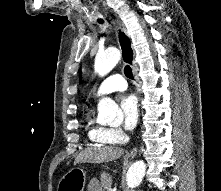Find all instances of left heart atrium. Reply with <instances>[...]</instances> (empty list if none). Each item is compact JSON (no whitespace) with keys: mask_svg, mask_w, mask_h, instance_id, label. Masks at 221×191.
I'll list each match as a JSON object with an SVG mask.
<instances>
[{"mask_svg":"<svg viewBox=\"0 0 221 191\" xmlns=\"http://www.w3.org/2000/svg\"><path fill=\"white\" fill-rule=\"evenodd\" d=\"M124 126L128 130H133L138 122L139 105L135 95H126L121 100Z\"/></svg>","mask_w":221,"mask_h":191,"instance_id":"obj_1","label":"left heart atrium"}]
</instances>
